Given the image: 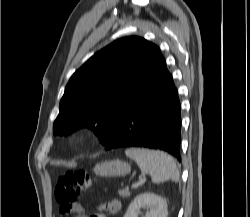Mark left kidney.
Returning a JSON list of instances; mask_svg holds the SVG:
<instances>
[{"label":"left kidney","mask_w":250,"mask_h":217,"mask_svg":"<svg viewBox=\"0 0 250 217\" xmlns=\"http://www.w3.org/2000/svg\"><path fill=\"white\" fill-rule=\"evenodd\" d=\"M146 207L149 211L144 217H167V200L156 194L147 192L136 196L131 202L124 217H138L141 208Z\"/></svg>","instance_id":"left-kidney-1"}]
</instances>
